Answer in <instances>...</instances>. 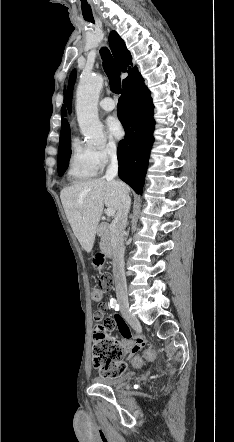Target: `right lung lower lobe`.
Instances as JSON below:
<instances>
[{"instance_id": "1", "label": "right lung lower lobe", "mask_w": 234, "mask_h": 442, "mask_svg": "<svg viewBox=\"0 0 234 442\" xmlns=\"http://www.w3.org/2000/svg\"><path fill=\"white\" fill-rule=\"evenodd\" d=\"M153 109L150 91L139 73L123 83L117 105L118 117L125 129V138L117 150L119 177L138 194L142 193L154 141Z\"/></svg>"}]
</instances>
